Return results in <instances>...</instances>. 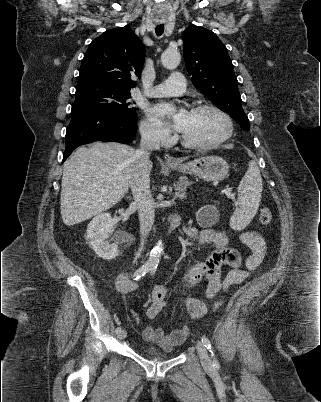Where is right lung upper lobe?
<instances>
[{"label":"right lung upper lobe","instance_id":"right-lung-upper-lobe-1","mask_svg":"<svg viewBox=\"0 0 321 402\" xmlns=\"http://www.w3.org/2000/svg\"><path fill=\"white\" fill-rule=\"evenodd\" d=\"M144 59L145 48L130 27L105 31L90 43L77 85L99 84L130 92L136 84L130 77H140Z\"/></svg>","mask_w":321,"mask_h":402}]
</instances>
